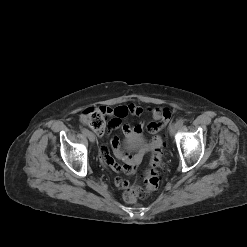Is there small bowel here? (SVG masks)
I'll use <instances>...</instances> for the list:
<instances>
[{"label":"small bowel","instance_id":"1","mask_svg":"<svg viewBox=\"0 0 247 247\" xmlns=\"http://www.w3.org/2000/svg\"><path fill=\"white\" fill-rule=\"evenodd\" d=\"M103 109L106 116L109 117L108 125L110 129L116 130L121 127L124 135L127 137L141 135L145 128V123L142 121L135 126H130L128 124H123L122 120L129 114L138 116L144 113L149 114L153 121L148 123L146 128L151 134L154 135L152 140L153 146L159 145L161 143V139L157 133L168 123L170 119L169 109L163 107L144 108L137 104H129L115 108L104 107ZM109 143L115 156L121 159L123 164L117 163L110 155L107 141H104L101 146V152L105 163L115 172H126L133 174L135 172L136 165L141 161L142 153L144 152L145 148H143L141 152L136 155H130L122 151L118 138H111ZM115 185L118 188L126 189L128 188L129 183L127 180L118 177L115 179Z\"/></svg>","mask_w":247,"mask_h":247}]
</instances>
